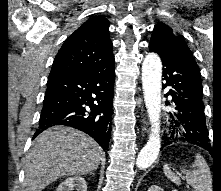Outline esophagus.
<instances>
[{"instance_id":"1","label":"esophagus","mask_w":221,"mask_h":191,"mask_svg":"<svg viewBox=\"0 0 221 191\" xmlns=\"http://www.w3.org/2000/svg\"><path fill=\"white\" fill-rule=\"evenodd\" d=\"M142 110H143V108H142ZM142 122H143V124H146L145 119H143ZM144 130H147L146 127H144Z\"/></svg>"}]
</instances>
